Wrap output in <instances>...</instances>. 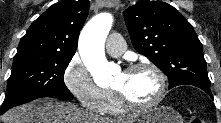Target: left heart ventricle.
<instances>
[{
  "label": "left heart ventricle",
  "instance_id": "b2bd125f",
  "mask_svg": "<svg viewBox=\"0 0 221 123\" xmlns=\"http://www.w3.org/2000/svg\"><path fill=\"white\" fill-rule=\"evenodd\" d=\"M112 88L122 91L135 103L145 104L156 97L159 82L152 71L143 69L132 73L120 72L115 77Z\"/></svg>",
  "mask_w": 221,
  "mask_h": 123
}]
</instances>
